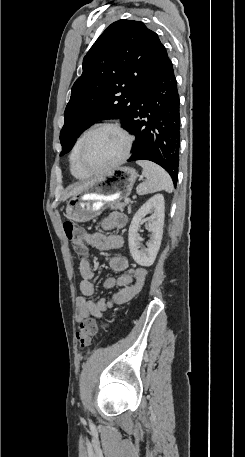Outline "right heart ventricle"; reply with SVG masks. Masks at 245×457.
Returning <instances> with one entry per match:
<instances>
[{"label":"right heart ventricle","instance_id":"1","mask_svg":"<svg viewBox=\"0 0 245 457\" xmlns=\"http://www.w3.org/2000/svg\"><path fill=\"white\" fill-rule=\"evenodd\" d=\"M89 130L90 129H87L83 133L80 134V136L77 138V140L75 142V145H74L73 150H72L71 155H70L71 173L78 180H84V179L87 178V175L78 166V163H77V151H78V149H79V147H80V145L82 143V140H83L84 136L86 135V133Z\"/></svg>","mask_w":245,"mask_h":457}]
</instances>
